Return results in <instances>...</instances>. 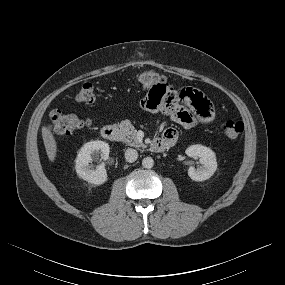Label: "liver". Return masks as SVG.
I'll return each mask as SVG.
<instances>
[{
  "instance_id": "1",
  "label": "liver",
  "mask_w": 285,
  "mask_h": 285,
  "mask_svg": "<svg viewBox=\"0 0 285 285\" xmlns=\"http://www.w3.org/2000/svg\"><path fill=\"white\" fill-rule=\"evenodd\" d=\"M42 138L47 156L51 162H54L57 154V143L52 132L46 126L42 127Z\"/></svg>"
}]
</instances>
